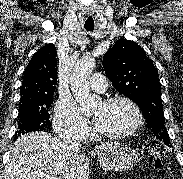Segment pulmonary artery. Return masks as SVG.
<instances>
[{
    "label": "pulmonary artery",
    "mask_w": 183,
    "mask_h": 179,
    "mask_svg": "<svg viewBox=\"0 0 183 179\" xmlns=\"http://www.w3.org/2000/svg\"><path fill=\"white\" fill-rule=\"evenodd\" d=\"M90 87L97 92H104L107 88V80L104 75L96 73L90 79Z\"/></svg>",
    "instance_id": "1"
}]
</instances>
